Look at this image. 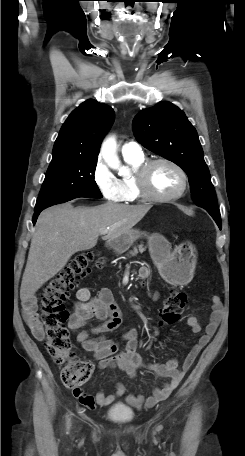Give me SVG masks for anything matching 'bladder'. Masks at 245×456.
Masks as SVG:
<instances>
[{
	"instance_id": "bladder-1",
	"label": "bladder",
	"mask_w": 245,
	"mask_h": 456,
	"mask_svg": "<svg viewBox=\"0 0 245 456\" xmlns=\"http://www.w3.org/2000/svg\"><path fill=\"white\" fill-rule=\"evenodd\" d=\"M107 417L116 423H128L133 418V411L124 404H116L108 409Z\"/></svg>"
}]
</instances>
